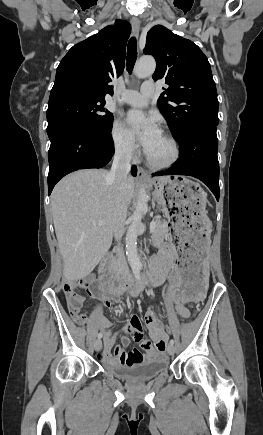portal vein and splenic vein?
Here are the masks:
<instances>
[{"instance_id": "18ae733b", "label": "portal vein and splenic vein", "mask_w": 263, "mask_h": 435, "mask_svg": "<svg viewBox=\"0 0 263 435\" xmlns=\"http://www.w3.org/2000/svg\"><path fill=\"white\" fill-rule=\"evenodd\" d=\"M102 224H104V222H103V221H100V222H99V225H102ZM155 227H156V221L153 220V221L150 223V227H149V229H150V233H153V232H154Z\"/></svg>"}]
</instances>
